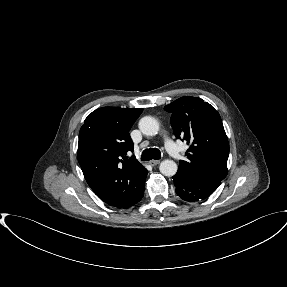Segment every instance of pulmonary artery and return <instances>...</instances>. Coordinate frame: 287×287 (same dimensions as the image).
<instances>
[{
	"mask_svg": "<svg viewBox=\"0 0 287 287\" xmlns=\"http://www.w3.org/2000/svg\"><path fill=\"white\" fill-rule=\"evenodd\" d=\"M165 148L174 158L178 159L181 156L178 146H176V144L168 137L165 138Z\"/></svg>",
	"mask_w": 287,
	"mask_h": 287,
	"instance_id": "1",
	"label": "pulmonary artery"
}]
</instances>
